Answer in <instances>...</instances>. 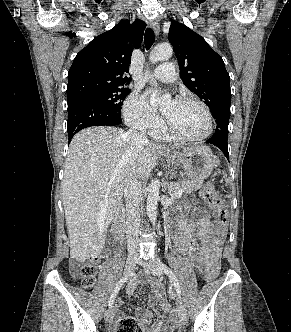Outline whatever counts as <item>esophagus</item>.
<instances>
[{
    "mask_svg": "<svg viewBox=\"0 0 291 332\" xmlns=\"http://www.w3.org/2000/svg\"><path fill=\"white\" fill-rule=\"evenodd\" d=\"M150 26H151V28L154 30V32H155L156 34H159V31H160V25H159V23H158L156 20H152V21L150 22Z\"/></svg>",
    "mask_w": 291,
    "mask_h": 332,
    "instance_id": "1",
    "label": "esophagus"
}]
</instances>
